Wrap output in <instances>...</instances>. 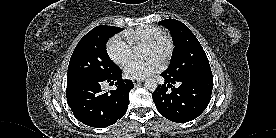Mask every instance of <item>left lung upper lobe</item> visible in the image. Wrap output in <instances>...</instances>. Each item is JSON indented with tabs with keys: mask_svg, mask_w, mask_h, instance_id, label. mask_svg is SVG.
Here are the masks:
<instances>
[{
	"mask_svg": "<svg viewBox=\"0 0 276 138\" xmlns=\"http://www.w3.org/2000/svg\"><path fill=\"white\" fill-rule=\"evenodd\" d=\"M159 24L169 29L175 44L166 74L175 80L213 77L201 44L185 24L175 19H165Z\"/></svg>",
	"mask_w": 276,
	"mask_h": 138,
	"instance_id": "1",
	"label": "left lung upper lobe"
}]
</instances>
